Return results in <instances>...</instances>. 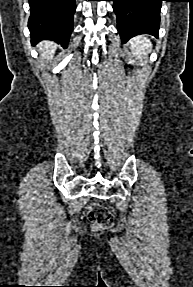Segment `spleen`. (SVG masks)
<instances>
[{
	"mask_svg": "<svg viewBox=\"0 0 193 287\" xmlns=\"http://www.w3.org/2000/svg\"><path fill=\"white\" fill-rule=\"evenodd\" d=\"M130 47L133 55L141 60L151 51L152 44L146 36L141 35L133 38L130 42Z\"/></svg>",
	"mask_w": 193,
	"mask_h": 287,
	"instance_id": "obj_1",
	"label": "spleen"
}]
</instances>
